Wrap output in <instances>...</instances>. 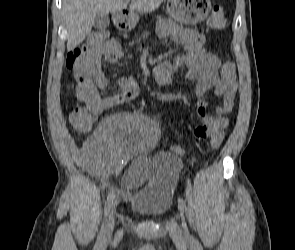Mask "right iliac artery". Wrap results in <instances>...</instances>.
I'll use <instances>...</instances> for the list:
<instances>
[{
  "label": "right iliac artery",
  "mask_w": 295,
  "mask_h": 250,
  "mask_svg": "<svg viewBox=\"0 0 295 250\" xmlns=\"http://www.w3.org/2000/svg\"><path fill=\"white\" fill-rule=\"evenodd\" d=\"M113 200H114V193L113 191L109 193V195L107 196V200L105 202V207H104V217L105 219L107 218V216L109 215V212H110V209H111V206L113 204ZM104 223H103V228L102 230L100 231L99 233V236H98V241L99 242H102L103 239H104Z\"/></svg>",
  "instance_id": "obj_1"
}]
</instances>
